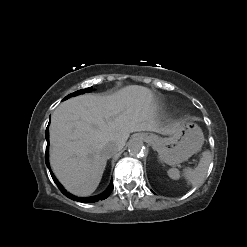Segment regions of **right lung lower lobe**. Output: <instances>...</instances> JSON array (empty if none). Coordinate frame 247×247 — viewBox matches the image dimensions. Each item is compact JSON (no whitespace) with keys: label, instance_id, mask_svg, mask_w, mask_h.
<instances>
[{"label":"right lung lower lobe","instance_id":"98d812e1","mask_svg":"<svg viewBox=\"0 0 247 247\" xmlns=\"http://www.w3.org/2000/svg\"><path fill=\"white\" fill-rule=\"evenodd\" d=\"M46 140H47V148H46L45 162H46L47 167L49 168V171L51 173L53 181L56 183V185L58 186V188L60 189V191L63 194H65L68 198H70L74 201H78V202H82V203H93V202H96L99 200H104L111 194V192L113 190V180H111V183H110L108 189L105 192H103L102 194L97 195V196L83 198V197H76V196L70 194L69 192H67L63 188V186L57 181V179L55 178V176L53 175V173L49 167V162H48L49 133H48V129L46 130Z\"/></svg>","mask_w":247,"mask_h":247}]
</instances>
